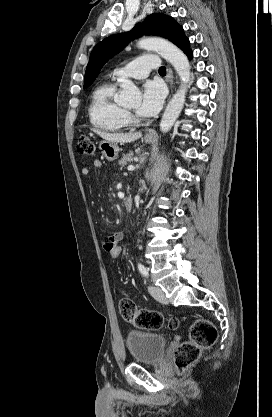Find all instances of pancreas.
I'll return each mask as SVG.
<instances>
[{
	"mask_svg": "<svg viewBox=\"0 0 272 417\" xmlns=\"http://www.w3.org/2000/svg\"><path fill=\"white\" fill-rule=\"evenodd\" d=\"M133 157H134L133 152L123 155L121 160L119 161V165H121V167H124L125 165L133 161Z\"/></svg>",
	"mask_w": 272,
	"mask_h": 417,
	"instance_id": "1",
	"label": "pancreas"
}]
</instances>
